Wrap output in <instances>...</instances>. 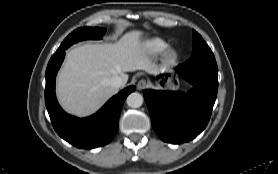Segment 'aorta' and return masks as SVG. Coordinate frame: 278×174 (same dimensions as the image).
<instances>
[{
  "mask_svg": "<svg viewBox=\"0 0 278 174\" xmlns=\"http://www.w3.org/2000/svg\"><path fill=\"white\" fill-rule=\"evenodd\" d=\"M127 105L131 108H139L143 104V97L138 92H133L126 99Z\"/></svg>",
  "mask_w": 278,
  "mask_h": 174,
  "instance_id": "obj_1",
  "label": "aorta"
}]
</instances>
